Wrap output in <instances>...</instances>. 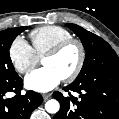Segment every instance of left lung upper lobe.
Wrapping results in <instances>:
<instances>
[{
	"label": "left lung upper lobe",
	"instance_id": "5c2ea615",
	"mask_svg": "<svg viewBox=\"0 0 119 119\" xmlns=\"http://www.w3.org/2000/svg\"><path fill=\"white\" fill-rule=\"evenodd\" d=\"M66 25L80 38L86 51L83 67L75 81L88 79L105 69L119 68V58L105 40L76 24Z\"/></svg>",
	"mask_w": 119,
	"mask_h": 119
}]
</instances>
